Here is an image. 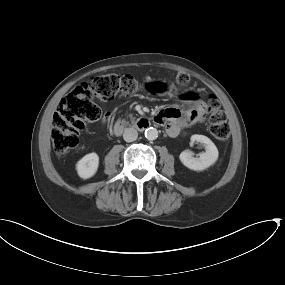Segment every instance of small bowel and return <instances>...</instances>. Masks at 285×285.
<instances>
[{
	"mask_svg": "<svg viewBox=\"0 0 285 285\" xmlns=\"http://www.w3.org/2000/svg\"><path fill=\"white\" fill-rule=\"evenodd\" d=\"M157 115H161L165 119V130L169 136L178 135L183 127L188 126L192 122L189 118L190 116L195 118L194 121L202 120L204 117L202 105L200 103L184 112L174 106H165Z\"/></svg>",
	"mask_w": 285,
	"mask_h": 285,
	"instance_id": "c3829d8e",
	"label": "small bowel"
}]
</instances>
